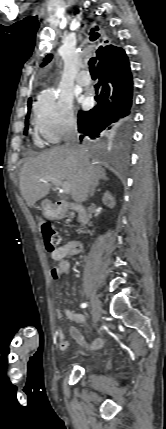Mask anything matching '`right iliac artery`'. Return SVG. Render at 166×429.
<instances>
[{"label":"right iliac artery","mask_w":166,"mask_h":429,"mask_svg":"<svg viewBox=\"0 0 166 429\" xmlns=\"http://www.w3.org/2000/svg\"><path fill=\"white\" fill-rule=\"evenodd\" d=\"M81 307H82V308H86V307H87V304H86V303H82V304H81Z\"/></svg>","instance_id":"1"}]
</instances>
